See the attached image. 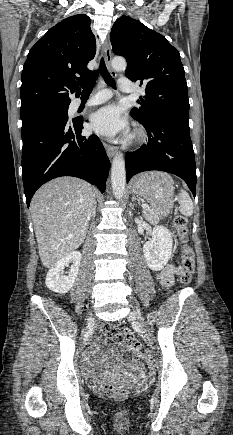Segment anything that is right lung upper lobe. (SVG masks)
<instances>
[{"label": "right lung upper lobe", "instance_id": "cb5924a9", "mask_svg": "<svg viewBox=\"0 0 233 435\" xmlns=\"http://www.w3.org/2000/svg\"><path fill=\"white\" fill-rule=\"evenodd\" d=\"M90 23L85 14L68 17L30 49L22 70L21 116L68 106L69 95H79L77 80L90 76L87 64L96 53Z\"/></svg>", "mask_w": 233, "mask_h": 435}]
</instances>
